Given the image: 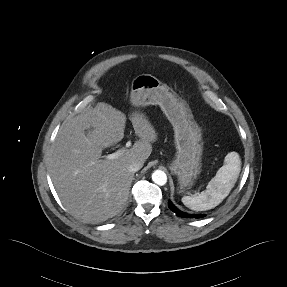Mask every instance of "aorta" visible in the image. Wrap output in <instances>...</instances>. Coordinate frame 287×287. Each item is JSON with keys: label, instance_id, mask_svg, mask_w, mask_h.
Here are the masks:
<instances>
[{"label": "aorta", "instance_id": "762f6f07", "mask_svg": "<svg viewBox=\"0 0 287 287\" xmlns=\"http://www.w3.org/2000/svg\"><path fill=\"white\" fill-rule=\"evenodd\" d=\"M152 180L155 184L159 186H163L167 182V175L164 171L162 170H156L152 174Z\"/></svg>", "mask_w": 287, "mask_h": 287}]
</instances>
